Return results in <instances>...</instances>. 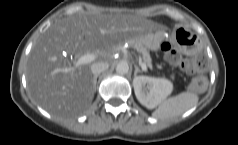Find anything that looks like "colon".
Segmentation results:
<instances>
[{"label": "colon", "mask_w": 238, "mask_h": 145, "mask_svg": "<svg viewBox=\"0 0 238 145\" xmlns=\"http://www.w3.org/2000/svg\"><path fill=\"white\" fill-rule=\"evenodd\" d=\"M161 48L165 52L166 59L171 65L194 76L191 83V89L193 91L200 92L205 89L207 82L201 75L206 69V59L204 55L197 54L189 58H185L180 53L173 50L167 43H163Z\"/></svg>", "instance_id": "obj_1"}]
</instances>
